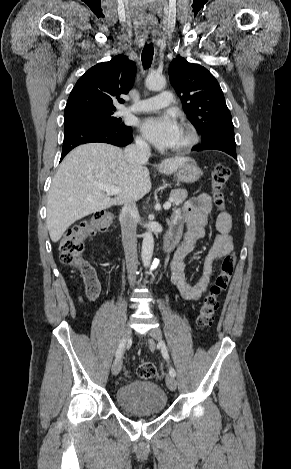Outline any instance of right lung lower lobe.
Here are the masks:
<instances>
[{
    "mask_svg": "<svg viewBox=\"0 0 291 469\" xmlns=\"http://www.w3.org/2000/svg\"><path fill=\"white\" fill-rule=\"evenodd\" d=\"M133 141L132 129L128 126H102L89 123L73 124L65 127L62 158L74 147L92 142L126 146Z\"/></svg>",
    "mask_w": 291,
    "mask_h": 469,
    "instance_id": "obj_1",
    "label": "right lung lower lobe"
}]
</instances>
